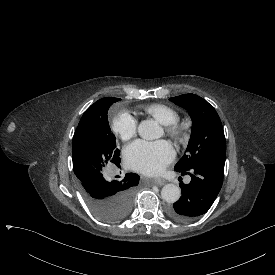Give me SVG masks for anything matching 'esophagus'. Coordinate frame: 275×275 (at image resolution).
Instances as JSON below:
<instances>
[{
    "instance_id": "esophagus-1",
    "label": "esophagus",
    "mask_w": 275,
    "mask_h": 275,
    "mask_svg": "<svg viewBox=\"0 0 275 275\" xmlns=\"http://www.w3.org/2000/svg\"><path fill=\"white\" fill-rule=\"evenodd\" d=\"M153 183L157 186H162L165 183V181H164V179H161V178H155L153 180Z\"/></svg>"
}]
</instances>
